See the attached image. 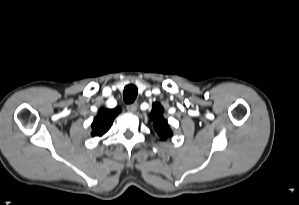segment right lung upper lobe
<instances>
[{"label": "right lung upper lobe", "mask_w": 299, "mask_h": 205, "mask_svg": "<svg viewBox=\"0 0 299 205\" xmlns=\"http://www.w3.org/2000/svg\"><path fill=\"white\" fill-rule=\"evenodd\" d=\"M119 112V108H116L115 110L100 109L98 115L95 117L92 123L91 135L94 137L97 135L102 136L103 134H105L109 130L114 118Z\"/></svg>", "instance_id": "1"}]
</instances>
